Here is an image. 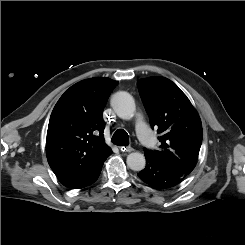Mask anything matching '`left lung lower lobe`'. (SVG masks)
Instances as JSON below:
<instances>
[{
  "mask_svg": "<svg viewBox=\"0 0 245 245\" xmlns=\"http://www.w3.org/2000/svg\"><path fill=\"white\" fill-rule=\"evenodd\" d=\"M146 157V166L137 175L154 188L169 189L181 183L188 175L174 170L169 166L157 162L155 159Z\"/></svg>",
  "mask_w": 245,
  "mask_h": 245,
  "instance_id": "1",
  "label": "left lung lower lobe"
}]
</instances>
